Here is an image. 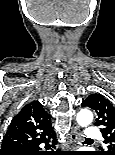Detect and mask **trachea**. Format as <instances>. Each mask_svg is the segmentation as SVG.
<instances>
[{
    "label": "trachea",
    "instance_id": "1",
    "mask_svg": "<svg viewBox=\"0 0 115 155\" xmlns=\"http://www.w3.org/2000/svg\"><path fill=\"white\" fill-rule=\"evenodd\" d=\"M89 140H90V139H87V138L85 139V141H89Z\"/></svg>",
    "mask_w": 115,
    "mask_h": 155
}]
</instances>
